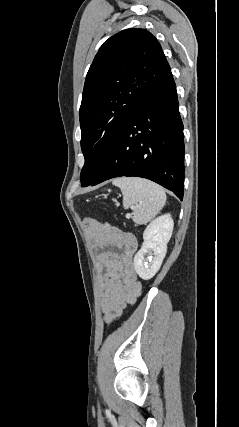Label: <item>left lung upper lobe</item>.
<instances>
[{"mask_svg": "<svg viewBox=\"0 0 239 427\" xmlns=\"http://www.w3.org/2000/svg\"><path fill=\"white\" fill-rule=\"evenodd\" d=\"M170 72L159 42L146 29L123 30L100 47L87 73L79 110L85 157L82 187L93 182L125 123Z\"/></svg>", "mask_w": 239, "mask_h": 427, "instance_id": "obj_1", "label": "left lung upper lobe"}]
</instances>
